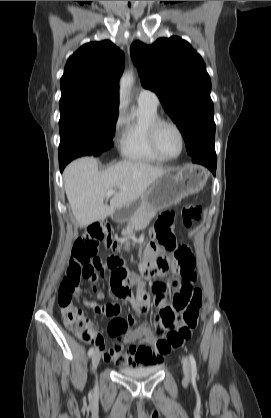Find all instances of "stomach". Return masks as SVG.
<instances>
[{"instance_id": "0dacf381", "label": "stomach", "mask_w": 271, "mask_h": 418, "mask_svg": "<svg viewBox=\"0 0 271 418\" xmlns=\"http://www.w3.org/2000/svg\"><path fill=\"white\" fill-rule=\"evenodd\" d=\"M208 177V170L196 164H187L175 174L168 172L156 179L139 199L114 214L113 219L124 221L140 207L158 211L176 205L183 198L200 192Z\"/></svg>"}]
</instances>
